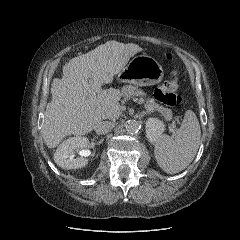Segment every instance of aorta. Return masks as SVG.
<instances>
[{
    "mask_svg": "<svg viewBox=\"0 0 240 240\" xmlns=\"http://www.w3.org/2000/svg\"><path fill=\"white\" fill-rule=\"evenodd\" d=\"M125 128L128 134H136L140 129V123L135 119L126 121Z\"/></svg>",
    "mask_w": 240,
    "mask_h": 240,
    "instance_id": "1",
    "label": "aorta"
}]
</instances>
